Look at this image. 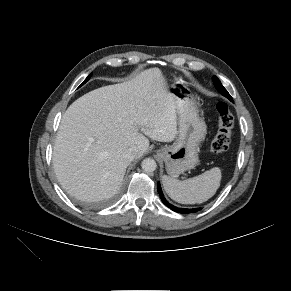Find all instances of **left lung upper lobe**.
<instances>
[{
    "instance_id": "left-lung-upper-lobe-1",
    "label": "left lung upper lobe",
    "mask_w": 291,
    "mask_h": 291,
    "mask_svg": "<svg viewBox=\"0 0 291 291\" xmlns=\"http://www.w3.org/2000/svg\"><path fill=\"white\" fill-rule=\"evenodd\" d=\"M213 82L214 85L216 87V89L225 97H227L230 101L232 100V97L230 96V94L227 92V90L222 86L221 82L219 81V79L216 76H213Z\"/></svg>"
}]
</instances>
